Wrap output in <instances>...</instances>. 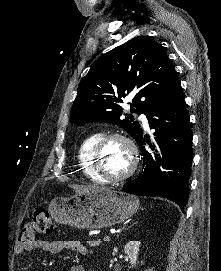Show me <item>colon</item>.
<instances>
[{"instance_id": "5ec220e1", "label": "colon", "mask_w": 221, "mask_h": 271, "mask_svg": "<svg viewBox=\"0 0 221 271\" xmlns=\"http://www.w3.org/2000/svg\"><path fill=\"white\" fill-rule=\"evenodd\" d=\"M52 230V221L49 213L45 208H39L35 211L34 216L22 228L19 240L26 244L35 239L38 234H48Z\"/></svg>"}]
</instances>
